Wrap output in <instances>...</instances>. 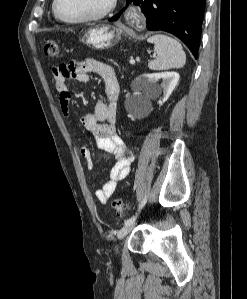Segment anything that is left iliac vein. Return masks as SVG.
<instances>
[{
    "mask_svg": "<svg viewBox=\"0 0 247 299\" xmlns=\"http://www.w3.org/2000/svg\"><path fill=\"white\" fill-rule=\"evenodd\" d=\"M134 226V222L123 226L117 234L118 239H123L134 228Z\"/></svg>",
    "mask_w": 247,
    "mask_h": 299,
    "instance_id": "1",
    "label": "left iliac vein"
}]
</instances>
